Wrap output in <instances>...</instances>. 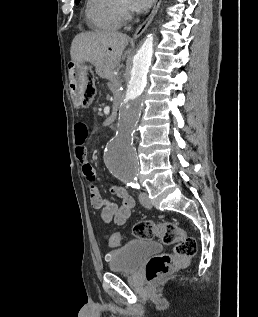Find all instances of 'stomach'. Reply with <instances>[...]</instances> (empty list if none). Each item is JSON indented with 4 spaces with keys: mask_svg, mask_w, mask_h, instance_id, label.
Returning a JSON list of instances; mask_svg holds the SVG:
<instances>
[{
    "mask_svg": "<svg viewBox=\"0 0 258 317\" xmlns=\"http://www.w3.org/2000/svg\"><path fill=\"white\" fill-rule=\"evenodd\" d=\"M75 72H83V70H88L89 66L82 64V62H72Z\"/></svg>",
    "mask_w": 258,
    "mask_h": 317,
    "instance_id": "1",
    "label": "stomach"
}]
</instances>
